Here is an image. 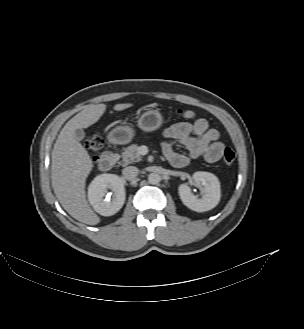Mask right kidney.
I'll list each match as a JSON object with an SVG mask.
<instances>
[{"label":"right kidney","mask_w":304,"mask_h":329,"mask_svg":"<svg viewBox=\"0 0 304 329\" xmlns=\"http://www.w3.org/2000/svg\"><path fill=\"white\" fill-rule=\"evenodd\" d=\"M107 189L114 192L111 200L104 198ZM88 199L94 210L100 215H114L125 202V188L122 179L115 174L96 176L88 187Z\"/></svg>","instance_id":"obj_1"}]
</instances>
